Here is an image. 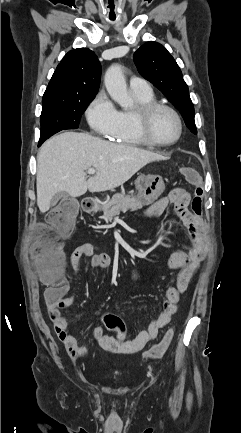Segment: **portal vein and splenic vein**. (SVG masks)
Instances as JSON below:
<instances>
[{"mask_svg": "<svg viewBox=\"0 0 241 433\" xmlns=\"http://www.w3.org/2000/svg\"><path fill=\"white\" fill-rule=\"evenodd\" d=\"M87 173H88L89 175H93V174L96 173V170H95L94 168H89V169L87 170Z\"/></svg>", "mask_w": 241, "mask_h": 433, "instance_id": "portal-vein-and-splenic-vein-1", "label": "portal vein and splenic vein"}]
</instances>
